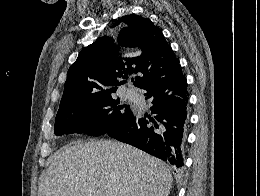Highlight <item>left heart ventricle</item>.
Instances as JSON below:
<instances>
[{"label":"left heart ventricle","instance_id":"obj_1","mask_svg":"<svg viewBox=\"0 0 260 196\" xmlns=\"http://www.w3.org/2000/svg\"><path fill=\"white\" fill-rule=\"evenodd\" d=\"M57 192H62L61 190H57Z\"/></svg>","mask_w":260,"mask_h":196}]
</instances>
